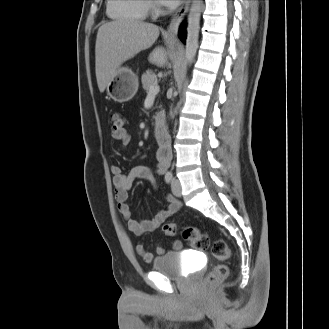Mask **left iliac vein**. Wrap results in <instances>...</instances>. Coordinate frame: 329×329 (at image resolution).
Returning <instances> with one entry per match:
<instances>
[{
    "label": "left iliac vein",
    "instance_id": "obj_1",
    "mask_svg": "<svg viewBox=\"0 0 329 329\" xmlns=\"http://www.w3.org/2000/svg\"><path fill=\"white\" fill-rule=\"evenodd\" d=\"M172 192L176 197L181 196V185L178 179H174L172 182Z\"/></svg>",
    "mask_w": 329,
    "mask_h": 329
}]
</instances>
